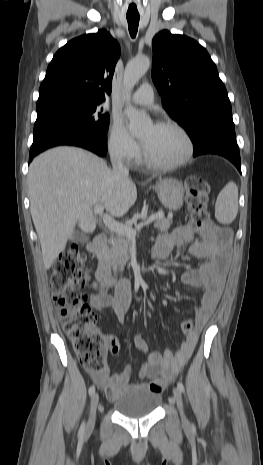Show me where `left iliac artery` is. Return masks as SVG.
Returning a JSON list of instances; mask_svg holds the SVG:
<instances>
[{"mask_svg": "<svg viewBox=\"0 0 263 465\" xmlns=\"http://www.w3.org/2000/svg\"><path fill=\"white\" fill-rule=\"evenodd\" d=\"M177 386H178V388L180 389L181 392H184L185 389H184L183 383L178 382Z\"/></svg>", "mask_w": 263, "mask_h": 465, "instance_id": "1", "label": "left iliac artery"}]
</instances>
